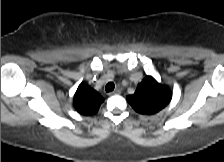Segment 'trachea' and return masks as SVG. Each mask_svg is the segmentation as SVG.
<instances>
[{"label": "trachea", "instance_id": "1", "mask_svg": "<svg viewBox=\"0 0 224 162\" xmlns=\"http://www.w3.org/2000/svg\"><path fill=\"white\" fill-rule=\"evenodd\" d=\"M115 88V84L113 82H109L106 86H105V90L106 92H111L113 91Z\"/></svg>", "mask_w": 224, "mask_h": 162}]
</instances>
